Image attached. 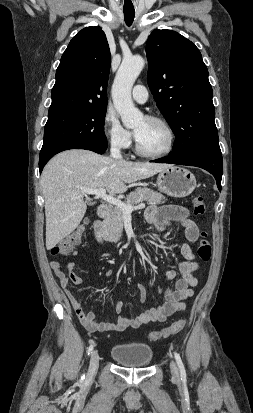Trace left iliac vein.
Instances as JSON below:
<instances>
[{
  "label": "left iliac vein",
  "mask_w": 253,
  "mask_h": 413,
  "mask_svg": "<svg viewBox=\"0 0 253 413\" xmlns=\"http://www.w3.org/2000/svg\"><path fill=\"white\" fill-rule=\"evenodd\" d=\"M170 370H171L173 378L179 379V369L177 367V364L174 361H171L170 363Z\"/></svg>",
  "instance_id": "obj_1"
}]
</instances>
